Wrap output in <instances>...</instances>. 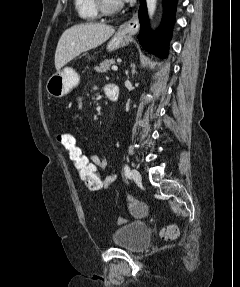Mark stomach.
I'll return each mask as SVG.
<instances>
[{
    "instance_id": "1",
    "label": "stomach",
    "mask_w": 240,
    "mask_h": 287,
    "mask_svg": "<svg viewBox=\"0 0 240 287\" xmlns=\"http://www.w3.org/2000/svg\"><path fill=\"white\" fill-rule=\"evenodd\" d=\"M130 35L118 31L107 44V49L113 51L129 44ZM79 74L70 67L54 73L47 81L46 90L49 95L60 98L68 94L79 84Z\"/></svg>"
}]
</instances>
